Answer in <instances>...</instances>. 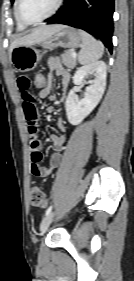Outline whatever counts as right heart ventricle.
<instances>
[{"label":"right heart ventricle","mask_w":134,"mask_h":281,"mask_svg":"<svg viewBox=\"0 0 134 281\" xmlns=\"http://www.w3.org/2000/svg\"><path fill=\"white\" fill-rule=\"evenodd\" d=\"M15 19H16V26H17V29H18V30L22 31V30H24V29L27 27V26L23 25V24L17 19L16 15H15Z\"/></svg>","instance_id":"1"}]
</instances>
